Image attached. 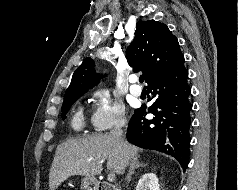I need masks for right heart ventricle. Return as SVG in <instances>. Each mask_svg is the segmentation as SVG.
Masks as SVG:
<instances>
[{
    "instance_id": "1",
    "label": "right heart ventricle",
    "mask_w": 238,
    "mask_h": 190,
    "mask_svg": "<svg viewBox=\"0 0 238 190\" xmlns=\"http://www.w3.org/2000/svg\"><path fill=\"white\" fill-rule=\"evenodd\" d=\"M71 124L75 130H81L83 128L84 117L82 111L79 110L75 113V115L72 118Z\"/></svg>"
}]
</instances>
